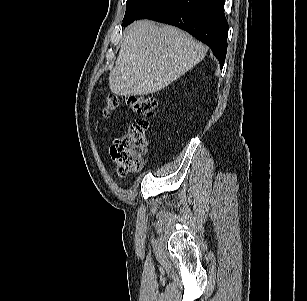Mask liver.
I'll use <instances>...</instances> for the list:
<instances>
[{
  "instance_id": "6515ba94",
  "label": "liver",
  "mask_w": 307,
  "mask_h": 301,
  "mask_svg": "<svg viewBox=\"0 0 307 301\" xmlns=\"http://www.w3.org/2000/svg\"><path fill=\"white\" fill-rule=\"evenodd\" d=\"M207 47L189 34L149 20L133 23L109 74L110 90L141 96L164 89L199 63Z\"/></svg>"
}]
</instances>
